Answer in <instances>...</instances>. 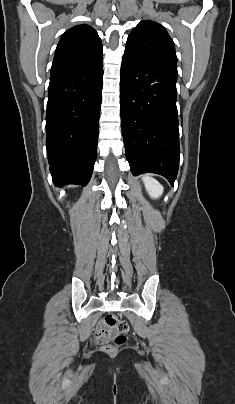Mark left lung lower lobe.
I'll return each mask as SVG.
<instances>
[{
	"instance_id": "0a47b994",
	"label": "left lung lower lobe",
	"mask_w": 235,
	"mask_h": 404,
	"mask_svg": "<svg viewBox=\"0 0 235 404\" xmlns=\"http://www.w3.org/2000/svg\"><path fill=\"white\" fill-rule=\"evenodd\" d=\"M177 70L140 54L124 52L121 80V126L133 175L160 174L171 185L180 159L176 107Z\"/></svg>"
}]
</instances>
